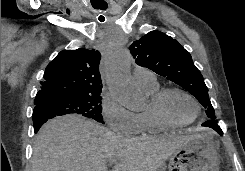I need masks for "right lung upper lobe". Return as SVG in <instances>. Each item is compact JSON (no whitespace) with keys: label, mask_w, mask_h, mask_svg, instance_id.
<instances>
[{"label":"right lung upper lobe","mask_w":245,"mask_h":171,"mask_svg":"<svg viewBox=\"0 0 245 171\" xmlns=\"http://www.w3.org/2000/svg\"><path fill=\"white\" fill-rule=\"evenodd\" d=\"M100 59V53L94 50L61 51L45 69L35 105L38 106L47 97L100 94Z\"/></svg>","instance_id":"cb5924a9"}]
</instances>
